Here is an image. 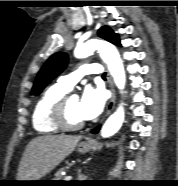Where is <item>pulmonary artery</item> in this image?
Masks as SVG:
<instances>
[{
  "label": "pulmonary artery",
  "mask_w": 178,
  "mask_h": 186,
  "mask_svg": "<svg viewBox=\"0 0 178 186\" xmlns=\"http://www.w3.org/2000/svg\"><path fill=\"white\" fill-rule=\"evenodd\" d=\"M102 71H103L102 67L98 64H84L81 67H79L75 72L60 77L58 80V84L67 91H69L84 75L88 74L99 75L102 73Z\"/></svg>",
  "instance_id": "1"
}]
</instances>
